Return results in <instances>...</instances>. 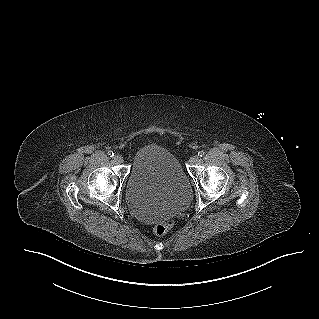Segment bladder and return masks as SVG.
I'll return each mask as SVG.
<instances>
[{"instance_id": "31cf9c89", "label": "bladder", "mask_w": 319, "mask_h": 319, "mask_svg": "<svg viewBox=\"0 0 319 319\" xmlns=\"http://www.w3.org/2000/svg\"><path fill=\"white\" fill-rule=\"evenodd\" d=\"M190 199V178L174 154L159 145L135 153L126 180V200L139 218H165Z\"/></svg>"}]
</instances>
